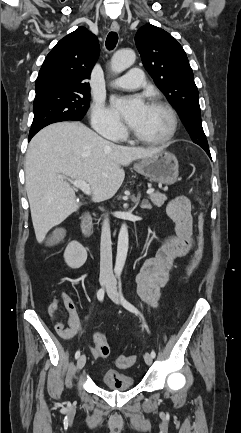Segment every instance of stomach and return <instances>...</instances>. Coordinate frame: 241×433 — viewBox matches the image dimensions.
Here are the masks:
<instances>
[{"instance_id":"obj_1","label":"stomach","mask_w":241,"mask_h":433,"mask_svg":"<svg viewBox=\"0 0 241 433\" xmlns=\"http://www.w3.org/2000/svg\"><path fill=\"white\" fill-rule=\"evenodd\" d=\"M134 169L150 181L165 185L174 184L179 175L177 158L164 150L135 163Z\"/></svg>"}]
</instances>
